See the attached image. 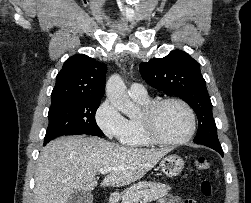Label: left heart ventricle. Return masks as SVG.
I'll return each mask as SVG.
<instances>
[{
    "instance_id": "1",
    "label": "left heart ventricle",
    "mask_w": 251,
    "mask_h": 203,
    "mask_svg": "<svg viewBox=\"0 0 251 203\" xmlns=\"http://www.w3.org/2000/svg\"><path fill=\"white\" fill-rule=\"evenodd\" d=\"M189 127V115L180 104H165L156 115L155 128L164 139H180L188 132Z\"/></svg>"
}]
</instances>
